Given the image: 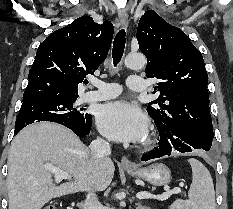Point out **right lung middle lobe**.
I'll use <instances>...</instances> for the list:
<instances>
[{
    "label": "right lung middle lobe",
    "instance_id": "right-lung-middle-lobe-1",
    "mask_svg": "<svg viewBox=\"0 0 233 209\" xmlns=\"http://www.w3.org/2000/svg\"><path fill=\"white\" fill-rule=\"evenodd\" d=\"M77 98H48L22 103L16 119V128L34 122L51 121L65 126L84 124L91 117L82 112L84 108L75 107Z\"/></svg>",
    "mask_w": 233,
    "mask_h": 209
}]
</instances>
